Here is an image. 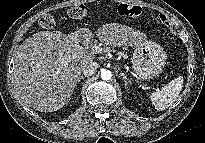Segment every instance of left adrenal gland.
<instances>
[{
	"mask_svg": "<svg viewBox=\"0 0 205 143\" xmlns=\"http://www.w3.org/2000/svg\"><path fill=\"white\" fill-rule=\"evenodd\" d=\"M120 76L124 79L125 88L128 89V83H131V80L124 73H120Z\"/></svg>",
	"mask_w": 205,
	"mask_h": 143,
	"instance_id": "a2214340",
	"label": "left adrenal gland"
}]
</instances>
